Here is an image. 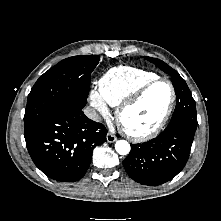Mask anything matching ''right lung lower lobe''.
Returning <instances> with one entry per match:
<instances>
[{
    "instance_id": "obj_1",
    "label": "right lung lower lobe",
    "mask_w": 221,
    "mask_h": 221,
    "mask_svg": "<svg viewBox=\"0 0 221 221\" xmlns=\"http://www.w3.org/2000/svg\"><path fill=\"white\" fill-rule=\"evenodd\" d=\"M103 124L87 118L82 109H67L48 117L25 134L28 152L51 179L74 182L86 173L95 146L106 142Z\"/></svg>"
}]
</instances>
